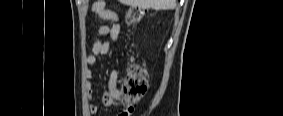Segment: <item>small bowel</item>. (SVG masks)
<instances>
[{
  "label": "small bowel",
  "instance_id": "small-bowel-1",
  "mask_svg": "<svg viewBox=\"0 0 283 116\" xmlns=\"http://www.w3.org/2000/svg\"><path fill=\"white\" fill-rule=\"evenodd\" d=\"M91 10L98 16L99 19L112 23L111 25H102L98 28L97 37L92 47V53L86 57V63L93 66L98 63L99 57L105 56L109 53L112 44L118 40L121 31V19L117 12L106 7L104 1L93 2ZM88 76L90 78L93 77L92 70L88 71ZM118 81V71L112 70L109 74L107 82V87L110 94L115 95L117 93ZM88 95L90 98L93 95V83H90L89 85ZM88 108L91 114H95L98 109L97 106L93 104L89 105Z\"/></svg>",
  "mask_w": 283,
  "mask_h": 116
}]
</instances>
